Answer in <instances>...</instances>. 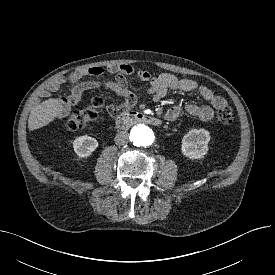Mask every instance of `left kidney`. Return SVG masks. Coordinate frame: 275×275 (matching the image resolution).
<instances>
[{"mask_svg": "<svg viewBox=\"0 0 275 275\" xmlns=\"http://www.w3.org/2000/svg\"><path fill=\"white\" fill-rule=\"evenodd\" d=\"M210 133L205 129H192L183 136L182 154L189 159H201L208 152Z\"/></svg>", "mask_w": 275, "mask_h": 275, "instance_id": "obj_1", "label": "left kidney"}]
</instances>
